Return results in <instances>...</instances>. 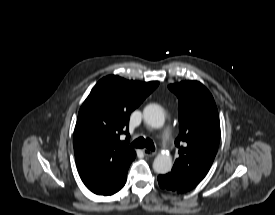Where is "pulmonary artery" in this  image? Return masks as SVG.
<instances>
[{
  "label": "pulmonary artery",
  "instance_id": "pulmonary-artery-1",
  "mask_svg": "<svg viewBox=\"0 0 275 215\" xmlns=\"http://www.w3.org/2000/svg\"><path fill=\"white\" fill-rule=\"evenodd\" d=\"M162 137L164 140L169 141L171 139V133L169 129H166L162 133Z\"/></svg>",
  "mask_w": 275,
  "mask_h": 215
}]
</instances>
